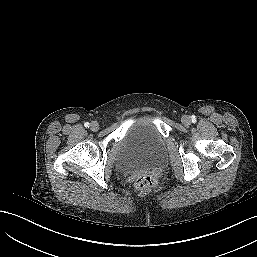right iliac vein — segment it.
Here are the masks:
<instances>
[{
    "label": "right iliac vein",
    "instance_id": "1",
    "mask_svg": "<svg viewBox=\"0 0 257 257\" xmlns=\"http://www.w3.org/2000/svg\"><path fill=\"white\" fill-rule=\"evenodd\" d=\"M92 131H97L99 129V124L97 122H92L90 125Z\"/></svg>",
    "mask_w": 257,
    "mask_h": 257
}]
</instances>
